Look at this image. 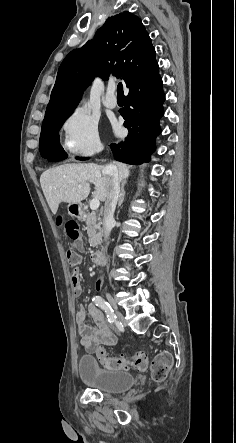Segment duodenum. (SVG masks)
Returning a JSON list of instances; mask_svg holds the SVG:
<instances>
[{
    "instance_id": "duodenum-1",
    "label": "duodenum",
    "mask_w": 236,
    "mask_h": 443,
    "mask_svg": "<svg viewBox=\"0 0 236 443\" xmlns=\"http://www.w3.org/2000/svg\"><path fill=\"white\" fill-rule=\"evenodd\" d=\"M75 214L77 216H82L83 215V207L81 205H77L75 207ZM91 261L95 265H104V263H105L103 258L101 257V254L99 252H93L91 254Z\"/></svg>"
}]
</instances>
